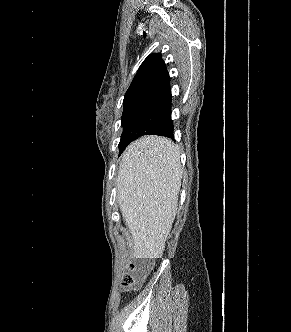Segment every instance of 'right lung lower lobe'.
I'll use <instances>...</instances> for the list:
<instances>
[{"label":"right lung lower lobe","mask_w":291,"mask_h":332,"mask_svg":"<svg viewBox=\"0 0 291 332\" xmlns=\"http://www.w3.org/2000/svg\"><path fill=\"white\" fill-rule=\"evenodd\" d=\"M171 99V90L167 83L142 100L124 131L125 139L120 153L130 142L142 135L173 137Z\"/></svg>","instance_id":"right-lung-lower-lobe-1"}]
</instances>
